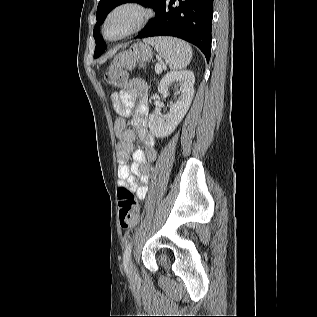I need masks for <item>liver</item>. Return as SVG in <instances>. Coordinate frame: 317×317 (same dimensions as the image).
Masks as SVG:
<instances>
[{"label":"liver","mask_w":317,"mask_h":317,"mask_svg":"<svg viewBox=\"0 0 317 317\" xmlns=\"http://www.w3.org/2000/svg\"><path fill=\"white\" fill-rule=\"evenodd\" d=\"M117 50H118V47L115 48L113 51H111L107 57H112L117 52ZM104 60H102L101 62H103Z\"/></svg>","instance_id":"liver-1"}]
</instances>
